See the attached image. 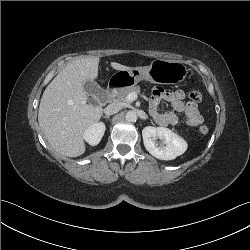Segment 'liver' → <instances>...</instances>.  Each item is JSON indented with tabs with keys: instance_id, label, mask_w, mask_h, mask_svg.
Here are the masks:
<instances>
[{
	"instance_id": "6515ba94",
	"label": "liver",
	"mask_w": 250,
	"mask_h": 250,
	"mask_svg": "<svg viewBox=\"0 0 250 250\" xmlns=\"http://www.w3.org/2000/svg\"><path fill=\"white\" fill-rule=\"evenodd\" d=\"M100 58L85 57L72 61L61 70L43 92L38 110L39 125L51 147L68 157H78L86 150L84 132L97 123L103 109L87 104L86 81L98 77ZM115 70L132 68L116 62Z\"/></svg>"
}]
</instances>
